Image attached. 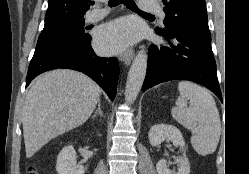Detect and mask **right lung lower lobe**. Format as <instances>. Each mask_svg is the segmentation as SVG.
<instances>
[{
    "mask_svg": "<svg viewBox=\"0 0 249 174\" xmlns=\"http://www.w3.org/2000/svg\"><path fill=\"white\" fill-rule=\"evenodd\" d=\"M56 68L83 72L104 89L111 101L114 100L119 77L118 61L115 57H98L91 47V38L36 48L28 68L26 87L37 75Z\"/></svg>",
    "mask_w": 249,
    "mask_h": 174,
    "instance_id": "right-lung-lower-lobe-1",
    "label": "right lung lower lobe"
}]
</instances>
